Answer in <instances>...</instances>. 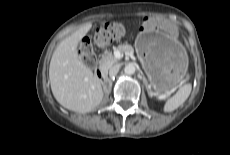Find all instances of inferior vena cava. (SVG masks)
<instances>
[{
  "label": "inferior vena cava",
  "mask_w": 230,
  "mask_h": 155,
  "mask_svg": "<svg viewBox=\"0 0 230 155\" xmlns=\"http://www.w3.org/2000/svg\"><path fill=\"white\" fill-rule=\"evenodd\" d=\"M119 69H120L119 65H115V66L111 67L110 70H109V76L110 77L116 76L118 71H119Z\"/></svg>",
  "instance_id": "1"
}]
</instances>
